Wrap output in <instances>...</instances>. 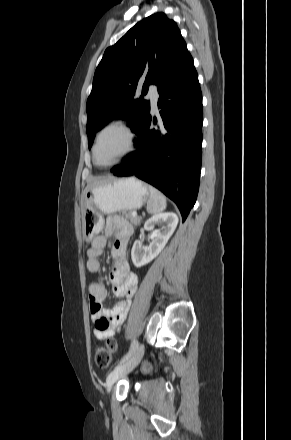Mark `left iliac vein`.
Masks as SVG:
<instances>
[{"instance_id": "4c4485c4", "label": "left iliac vein", "mask_w": 291, "mask_h": 440, "mask_svg": "<svg viewBox=\"0 0 291 440\" xmlns=\"http://www.w3.org/2000/svg\"><path fill=\"white\" fill-rule=\"evenodd\" d=\"M144 354L143 345H139L134 353L124 363L114 368L107 377V391L122 377L133 371L140 363Z\"/></svg>"}]
</instances>
